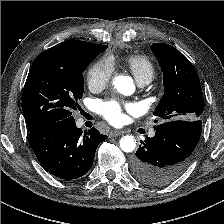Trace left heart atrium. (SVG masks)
<instances>
[{
	"label": "left heart atrium",
	"instance_id": "39dd6f15",
	"mask_svg": "<svg viewBox=\"0 0 224 224\" xmlns=\"http://www.w3.org/2000/svg\"><path fill=\"white\" fill-rule=\"evenodd\" d=\"M97 109L100 115L109 123L117 125L123 119L124 109L127 111H132L134 109V105L129 103L122 105L118 101L111 100L100 102Z\"/></svg>",
	"mask_w": 224,
	"mask_h": 224
}]
</instances>
